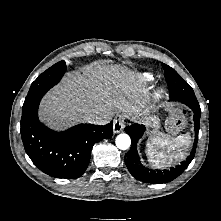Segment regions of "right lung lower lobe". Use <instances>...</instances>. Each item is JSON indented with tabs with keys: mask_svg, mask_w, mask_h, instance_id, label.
Listing matches in <instances>:
<instances>
[{
	"mask_svg": "<svg viewBox=\"0 0 221 221\" xmlns=\"http://www.w3.org/2000/svg\"><path fill=\"white\" fill-rule=\"evenodd\" d=\"M38 105L22 114L20 131L26 153L41 171L52 177H80L89 164L94 143L112 137V122L104 126L79 124L56 132L39 121Z\"/></svg>",
	"mask_w": 221,
	"mask_h": 221,
	"instance_id": "1",
	"label": "right lung lower lobe"
}]
</instances>
